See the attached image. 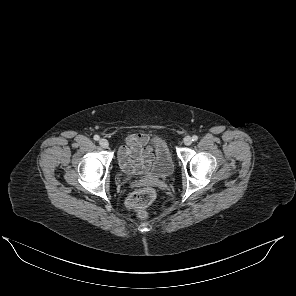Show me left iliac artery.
Here are the masks:
<instances>
[{
  "label": "left iliac artery",
  "mask_w": 296,
  "mask_h": 296,
  "mask_svg": "<svg viewBox=\"0 0 296 296\" xmlns=\"http://www.w3.org/2000/svg\"><path fill=\"white\" fill-rule=\"evenodd\" d=\"M197 140H198V136L193 135V137H192V141H197Z\"/></svg>",
  "instance_id": "1"
}]
</instances>
